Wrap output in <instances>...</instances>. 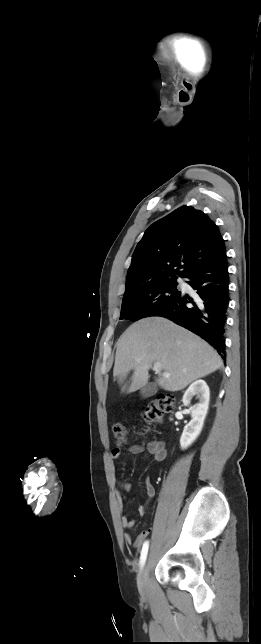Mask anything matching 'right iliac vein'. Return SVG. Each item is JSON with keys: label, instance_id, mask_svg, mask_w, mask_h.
Wrapping results in <instances>:
<instances>
[{"label": "right iliac vein", "instance_id": "1", "mask_svg": "<svg viewBox=\"0 0 261 644\" xmlns=\"http://www.w3.org/2000/svg\"><path fill=\"white\" fill-rule=\"evenodd\" d=\"M148 577H149V561H147L144 564L138 576V589L142 597H147L149 594Z\"/></svg>", "mask_w": 261, "mask_h": 644}]
</instances>
